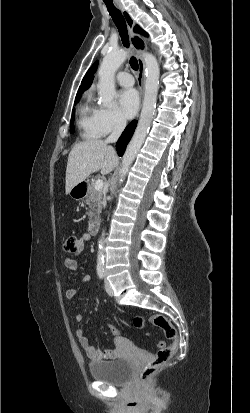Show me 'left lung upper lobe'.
I'll return each instance as SVG.
<instances>
[{
	"label": "left lung upper lobe",
	"instance_id": "obj_1",
	"mask_svg": "<svg viewBox=\"0 0 250 413\" xmlns=\"http://www.w3.org/2000/svg\"><path fill=\"white\" fill-rule=\"evenodd\" d=\"M134 30H135L136 32L142 33L143 35H146V33H145L144 31H142L139 26H135Z\"/></svg>",
	"mask_w": 250,
	"mask_h": 413
}]
</instances>
